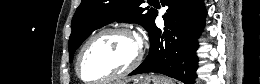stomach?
Instances as JSON below:
<instances>
[{
	"instance_id": "obj_1",
	"label": "stomach",
	"mask_w": 260,
	"mask_h": 84,
	"mask_svg": "<svg viewBox=\"0 0 260 84\" xmlns=\"http://www.w3.org/2000/svg\"><path fill=\"white\" fill-rule=\"evenodd\" d=\"M132 84H173L172 81L161 75L149 74L134 81Z\"/></svg>"
}]
</instances>
